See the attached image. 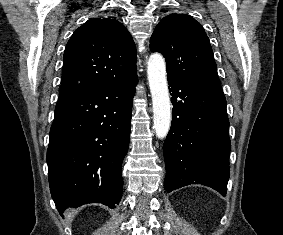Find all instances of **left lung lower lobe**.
Listing matches in <instances>:
<instances>
[{
  "instance_id": "left-lung-lower-lobe-1",
  "label": "left lung lower lobe",
  "mask_w": 283,
  "mask_h": 235,
  "mask_svg": "<svg viewBox=\"0 0 283 235\" xmlns=\"http://www.w3.org/2000/svg\"><path fill=\"white\" fill-rule=\"evenodd\" d=\"M168 84L173 110L163 145L165 191L202 184L225 196L230 139L223 91L175 76H168Z\"/></svg>"
}]
</instances>
